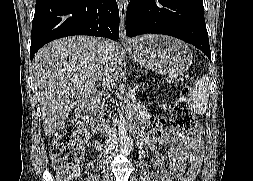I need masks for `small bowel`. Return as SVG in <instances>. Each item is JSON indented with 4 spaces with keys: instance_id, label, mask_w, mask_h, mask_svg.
Instances as JSON below:
<instances>
[{
    "instance_id": "small-bowel-1",
    "label": "small bowel",
    "mask_w": 253,
    "mask_h": 181,
    "mask_svg": "<svg viewBox=\"0 0 253 181\" xmlns=\"http://www.w3.org/2000/svg\"><path fill=\"white\" fill-rule=\"evenodd\" d=\"M146 150L152 155V164L156 169L153 181H172L171 177L182 173L183 167L188 163L189 168L182 173L183 181H193L203 161V147L200 132L187 139H181L171 128H165L162 119L155 121ZM164 148L168 155V164L160 153Z\"/></svg>"
}]
</instances>
